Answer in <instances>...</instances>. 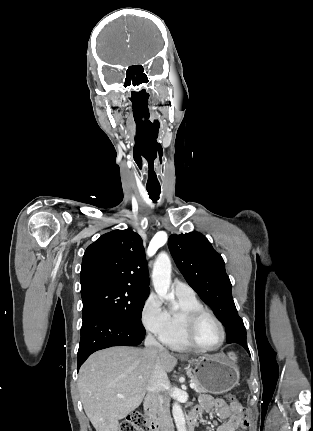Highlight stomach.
<instances>
[{"label":"stomach","mask_w":313,"mask_h":431,"mask_svg":"<svg viewBox=\"0 0 313 431\" xmlns=\"http://www.w3.org/2000/svg\"><path fill=\"white\" fill-rule=\"evenodd\" d=\"M189 362L194 365L190 372L206 392L222 394L239 384L240 374L233 356H202Z\"/></svg>","instance_id":"1"}]
</instances>
